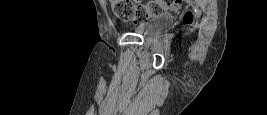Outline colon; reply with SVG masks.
I'll use <instances>...</instances> for the list:
<instances>
[{
  "mask_svg": "<svg viewBox=\"0 0 267 115\" xmlns=\"http://www.w3.org/2000/svg\"><path fill=\"white\" fill-rule=\"evenodd\" d=\"M112 9L114 14L126 22L140 23L148 20L152 16L164 12V7L159 3L135 4L128 0H113ZM191 20V15L186 16Z\"/></svg>",
  "mask_w": 267,
  "mask_h": 115,
  "instance_id": "obj_1",
  "label": "colon"
}]
</instances>
